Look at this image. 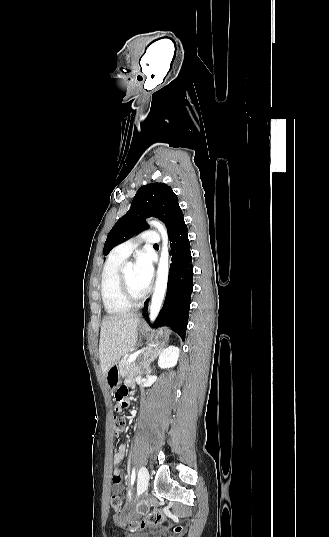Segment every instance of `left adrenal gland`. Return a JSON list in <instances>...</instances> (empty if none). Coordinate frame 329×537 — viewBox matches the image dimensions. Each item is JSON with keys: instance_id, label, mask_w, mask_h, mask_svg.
Masks as SVG:
<instances>
[{"instance_id": "left-adrenal-gland-1", "label": "left adrenal gland", "mask_w": 329, "mask_h": 537, "mask_svg": "<svg viewBox=\"0 0 329 537\" xmlns=\"http://www.w3.org/2000/svg\"><path fill=\"white\" fill-rule=\"evenodd\" d=\"M165 346L166 343H160L147 356H144V367L146 368L147 373L152 372V369L150 368V363L154 361V359L159 355V353L163 350V347Z\"/></svg>"}]
</instances>
